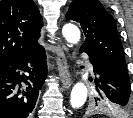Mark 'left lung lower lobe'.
I'll return each instance as SVG.
<instances>
[{
  "mask_svg": "<svg viewBox=\"0 0 133 118\" xmlns=\"http://www.w3.org/2000/svg\"><path fill=\"white\" fill-rule=\"evenodd\" d=\"M81 52H86L81 50ZM97 77L96 90L111 107H128L130 102V80L124 73L113 67L105 59L92 52H86ZM103 92L100 93L99 89Z\"/></svg>",
  "mask_w": 133,
  "mask_h": 118,
  "instance_id": "left-lung-lower-lobe-1",
  "label": "left lung lower lobe"
}]
</instances>
